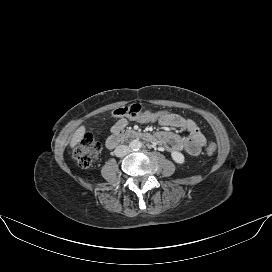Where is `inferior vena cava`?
<instances>
[{
    "instance_id": "obj_1",
    "label": "inferior vena cava",
    "mask_w": 272,
    "mask_h": 272,
    "mask_svg": "<svg viewBox=\"0 0 272 272\" xmlns=\"http://www.w3.org/2000/svg\"><path fill=\"white\" fill-rule=\"evenodd\" d=\"M128 153H130V147L127 145H119L114 150V154L117 157H123Z\"/></svg>"
}]
</instances>
